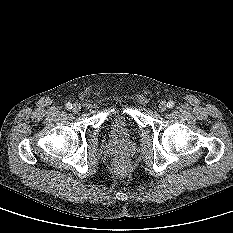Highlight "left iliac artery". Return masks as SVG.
Listing matches in <instances>:
<instances>
[{"label": "left iliac artery", "instance_id": "1", "mask_svg": "<svg viewBox=\"0 0 233 233\" xmlns=\"http://www.w3.org/2000/svg\"><path fill=\"white\" fill-rule=\"evenodd\" d=\"M167 107L168 108H173L174 107V102L173 101L167 102Z\"/></svg>", "mask_w": 233, "mask_h": 233}]
</instances>
